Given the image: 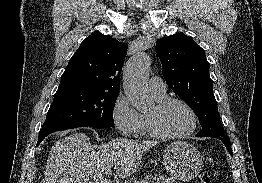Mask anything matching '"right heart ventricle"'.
<instances>
[{
	"instance_id": "right-heart-ventricle-1",
	"label": "right heart ventricle",
	"mask_w": 262,
	"mask_h": 183,
	"mask_svg": "<svg viewBox=\"0 0 262 183\" xmlns=\"http://www.w3.org/2000/svg\"><path fill=\"white\" fill-rule=\"evenodd\" d=\"M154 97L157 101H160L165 98V95L161 97H157V96ZM139 134L144 136L152 135L149 130L147 115H141V127L139 130Z\"/></svg>"
}]
</instances>
